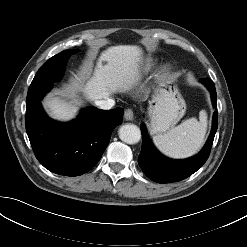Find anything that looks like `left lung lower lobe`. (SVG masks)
<instances>
[{"mask_svg":"<svg viewBox=\"0 0 247 247\" xmlns=\"http://www.w3.org/2000/svg\"><path fill=\"white\" fill-rule=\"evenodd\" d=\"M200 82L211 92V100L215 111L210 136L197 155L183 160H174L161 155L151 142L144 124L141 125L142 149L138 157V164L145 175L157 183L181 181L195 173L209 157L218 127L216 89L213 81L209 78L200 79Z\"/></svg>","mask_w":247,"mask_h":247,"instance_id":"1","label":"left lung lower lobe"}]
</instances>
